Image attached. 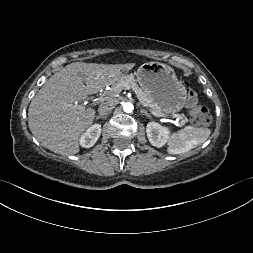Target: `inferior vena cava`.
<instances>
[{"label":"inferior vena cava","instance_id":"602c4592","mask_svg":"<svg viewBox=\"0 0 253 253\" xmlns=\"http://www.w3.org/2000/svg\"><path fill=\"white\" fill-rule=\"evenodd\" d=\"M116 105V101L115 100H109V101H106V102H103L99 108H98V112L100 115H108L112 109L115 107Z\"/></svg>","mask_w":253,"mask_h":253}]
</instances>
